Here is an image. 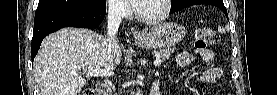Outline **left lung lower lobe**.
I'll use <instances>...</instances> for the list:
<instances>
[{"label": "left lung lower lobe", "instance_id": "left-lung-lower-lobe-1", "mask_svg": "<svg viewBox=\"0 0 277 95\" xmlns=\"http://www.w3.org/2000/svg\"><path fill=\"white\" fill-rule=\"evenodd\" d=\"M196 4H209V5L216 6V7L220 8L225 13V15L228 17L227 10H226L222 0H192V1L188 2L187 4H185L183 7H181L180 9L171 11L170 13L180 11L181 9H183L185 7H188L191 5H196Z\"/></svg>", "mask_w": 277, "mask_h": 95}]
</instances>
